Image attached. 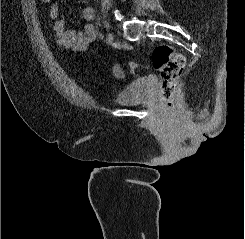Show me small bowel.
Returning a JSON list of instances; mask_svg holds the SVG:
<instances>
[{
  "mask_svg": "<svg viewBox=\"0 0 245 239\" xmlns=\"http://www.w3.org/2000/svg\"><path fill=\"white\" fill-rule=\"evenodd\" d=\"M49 15L53 20V31L56 43L59 47L74 51H88L96 40L95 27L87 23L82 31H71L66 29L65 19L59 15V4L53 3L49 9ZM82 18L90 22L94 18V10L91 6L85 5L81 9Z\"/></svg>",
  "mask_w": 245,
  "mask_h": 239,
  "instance_id": "obj_1",
  "label": "small bowel"
}]
</instances>
